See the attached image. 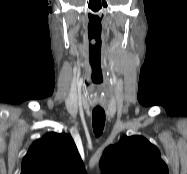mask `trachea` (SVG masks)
Segmentation results:
<instances>
[{
	"instance_id": "trachea-1",
	"label": "trachea",
	"mask_w": 187,
	"mask_h": 174,
	"mask_svg": "<svg viewBox=\"0 0 187 174\" xmlns=\"http://www.w3.org/2000/svg\"><path fill=\"white\" fill-rule=\"evenodd\" d=\"M92 124L95 135L99 137L105 125V112L103 109L96 108L92 111Z\"/></svg>"
}]
</instances>
